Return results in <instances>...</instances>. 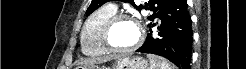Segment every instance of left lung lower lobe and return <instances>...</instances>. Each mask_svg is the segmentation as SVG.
<instances>
[{"label":"left lung lower lobe","mask_w":246,"mask_h":69,"mask_svg":"<svg viewBox=\"0 0 246 69\" xmlns=\"http://www.w3.org/2000/svg\"><path fill=\"white\" fill-rule=\"evenodd\" d=\"M158 18L161 20L158 34L153 35L150 29L144 44L136 51L159 55L179 69H190L192 22L186 0H171Z\"/></svg>","instance_id":"0a47b994"}]
</instances>
